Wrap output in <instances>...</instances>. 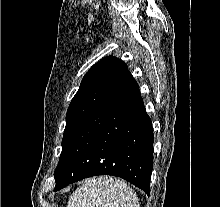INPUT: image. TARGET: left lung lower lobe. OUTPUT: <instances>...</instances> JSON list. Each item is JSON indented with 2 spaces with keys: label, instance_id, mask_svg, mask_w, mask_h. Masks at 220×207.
<instances>
[{
  "label": "left lung lower lobe",
  "instance_id": "0a47b994",
  "mask_svg": "<svg viewBox=\"0 0 220 207\" xmlns=\"http://www.w3.org/2000/svg\"><path fill=\"white\" fill-rule=\"evenodd\" d=\"M153 129L131 73L116 81L61 153L54 191L86 177L114 175L150 194Z\"/></svg>",
  "mask_w": 220,
  "mask_h": 207
}]
</instances>
